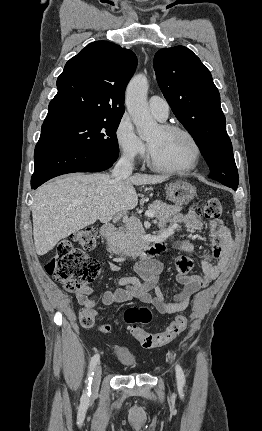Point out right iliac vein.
<instances>
[{"mask_svg":"<svg viewBox=\"0 0 262 431\" xmlns=\"http://www.w3.org/2000/svg\"><path fill=\"white\" fill-rule=\"evenodd\" d=\"M101 375H102V369L101 366H96L93 374V389H97L100 385L101 381Z\"/></svg>","mask_w":262,"mask_h":431,"instance_id":"1","label":"right iliac vein"}]
</instances>
